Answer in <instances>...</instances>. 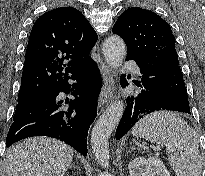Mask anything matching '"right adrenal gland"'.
I'll return each mask as SVG.
<instances>
[{
	"label": "right adrenal gland",
	"mask_w": 205,
	"mask_h": 176,
	"mask_svg": "<svg viewBox=\"0 0 205 176\" xmlns=\"http://www.w3.org/2000/svg\"><path fill=\"white\" fill-rule=\"evenodd\" d=\"M75 168V169H78V167L74 166L73 164L70 166V168Z\"/></svg>",
	"instance_id": "1"
}]
</instances>
